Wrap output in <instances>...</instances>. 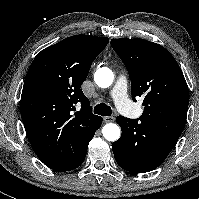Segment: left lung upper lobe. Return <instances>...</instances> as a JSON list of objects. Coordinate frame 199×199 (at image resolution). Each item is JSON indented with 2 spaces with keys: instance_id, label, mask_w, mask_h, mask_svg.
Returning a JSON list of instances; mask_svg holds the SVG:
<instances>
[{
  "instance_id": "obj_1",
  "label": "left lung upper lobe",
  "mask_w": 199,
  "mask_h": 199,
  "mask_svg": "<svg viewBox=\"0 0 199 199\" xmlns=\"http://www.w3.org/2000/svg\"><path fill=\"white\" fill-rule=\"evenodd\" d=\"M131 80L132 99L144 97L140 120L181 135L187 118L189 90L174 57L163 46L143 39H112Z\"/></svg>"
}]
</instances>
